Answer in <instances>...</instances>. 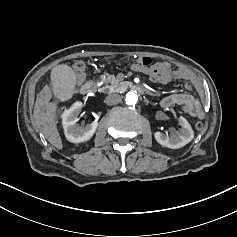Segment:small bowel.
Wrapping results in <instances>:
<instances>
[{
    "label": "small bowel",
    "instance_id": "c3829d8e",
    "mask_svg": "<svg viewBox=\"0 0 237 237\" xmlns=\"http://www.w3.org/2000/svg\"><path fill=\"white\" fill-rule=\"evenodd\" d=\"M159 67L163 75L166 77L167 82H170L173 79L186 80L184 88L187 91L184 93H176L164 97L161 100V106L163 107L179 106L180 108H182L184 112H186L192 117L204 118L205 116L204 109L202 108L196 96L190 93V91L192 90V83H191L192 75L190 74V72L182 67L175 66L170 62L159 63ZM132 69L134 71L148 75L147 70L141 67L137 62H135L132 65ZM77 81L78 83H81L83 81V77L79 76Z\"/></svg>",
    "mask_w": 237,
    "mask_h": 237
}]
</instances>
